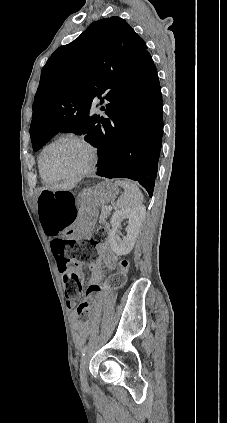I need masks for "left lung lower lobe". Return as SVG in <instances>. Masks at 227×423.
Returning <instances> with one entry per match:
<instances>
[{
    "label": "left lung lower lobe",
    "instance_id": "obj_1",
    "mask_svg": "<svg viewBox=\"0 0 227 423\" xmlns=\"http://www.w3.org/2000/svg\"><path fill=\"white\" fill-rule=\"evenodd\" d=\"M88 142L99 151L97 175L138 181L152 197L163 136L162 95L157 71L129 111L106 113Z\"/></svg>",
    "mask_w": 227,
    "mask_h": 423
}]
</instances>
